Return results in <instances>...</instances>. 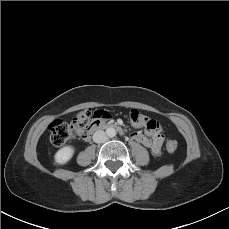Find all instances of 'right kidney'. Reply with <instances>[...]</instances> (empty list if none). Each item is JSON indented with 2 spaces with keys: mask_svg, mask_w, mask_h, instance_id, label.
<instances>
[{
  "mask_svg": "<svg viewBox=\"0 0 229 229\" xmlns=\"http://www.w3.org/2000/svg\"><path fill=\"white\" fill-rule=\"evenodd\" d=\"M74 154V148L72 146H64L59 149L55 154V162L59 165L67 163Z\"/></svg>",
  "mask_w": 229,
  "mask_h": 229,
  "instance_id": "obj_1",
  "label": "right kidney"
}]
</instances>
